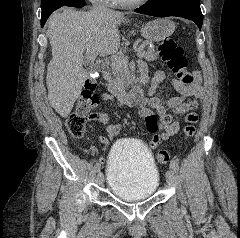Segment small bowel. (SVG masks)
I'll use <instances>...</instances> for the list:
<instances>
[{"label":"small bowel","mask_w":240,"mask_h":238,"mask_svg":"<svg viewBox=\"0 0 240 238\" xmlns=\"http://www.w3.org/2000/svg\"><path fill=\"white\" fill-rule=\"evenodd\" d=\"M140 69L141 73L147 75V68L144 64L140 66ZM195 75V82L189 86L173 79V87L179 96L171 97L163 103L155 96V92L158 84L166 79V75L163 71L155 73L148 90V96L139 103V115L144 120L147 130L153 134L149 143L152 149L157 148L163 141L178 133L180 126L177 121L173 120L172 114H185V122L187 123L197 122L198 116L195 110L199 106V98L202 96L203 90L199 74L195 73ZM101 98L107 102H114V97L107 93L102 94ZM89 117L92 121L107 126L108 139L103 137L99 139L104 144L103 149L107 150V143H115V137L120 132V125L112 123L108 115L103 112L92 113ZM98 162L100 166H103L105 157H98Z\"/></svg>","instance_id":"small-bowel-1"}]
</instances>
